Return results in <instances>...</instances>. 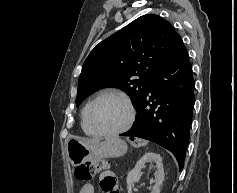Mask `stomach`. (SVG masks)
<instances>
[{
  "label": "stomach",
  "instance_id": "0dacf381",
  "mask_svg": "<svg viewBox=\"0 0 237 193\" xmlns=\"http://www.w3.org/2000/svg\"><path fill=\"white\" fill-rule=\"evenodd\" d=\"M67 157L73 166L100 158H117L126 154L128 146L119 138H111L105 141L83 142L78 139L68 140L66 144Z\"/></svg>",
  "mask_w": 237,
  "mask_h": 193
}]
</instances>
